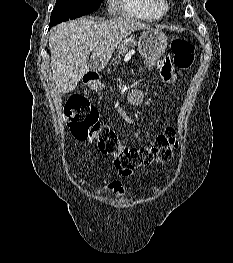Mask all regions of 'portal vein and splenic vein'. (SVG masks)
<instances>
[{
	"label": "portal vein and splenic vein",
	"mask_w": 233,
	"mask_h": 263,
	"mask_svg": "<svg viewBox=\"0 0 233 263\" xmlns=\"http://www.w3.org/2000/svg\"><path fill=\"white\" fill-rule=\"evenodd\" d=\"M94 46L92 45L90 48H89V51L91 52L93 50Z\"/></svg>",
	"instance_id": "1"
}]
</instances>
